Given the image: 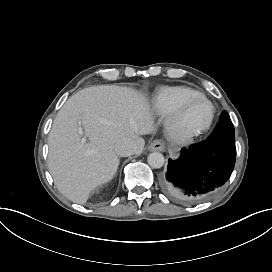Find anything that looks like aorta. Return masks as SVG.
Returning <instances> with one entry per match:
<instances>
[{
	"label": "aorta",
	"instance_id": "762f6f07",
	"mask_svg": "<svg viewBox=\"0 0 272 272\" xmlns=\"http://www.w3.org/2000/svg\"><path fill=\"white\" fill-rule=\"evenodd\" d=\"M164 156L161 153L153 152L148 156V164L155 169H159L164 165Z\"/></svg>",
	"mask_w": 272,
	"mask_h": 272
}]
</instances>
